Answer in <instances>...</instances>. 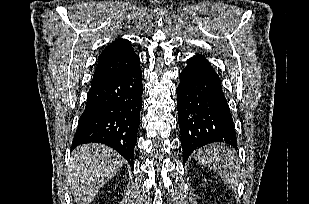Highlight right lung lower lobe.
<instances>
[{"label":"right lung lower lobe","mask_w":309,"mask_h":204,"mask_svg":"<svg viewBox=\"0 0 309 204\" xmlns=\"http://www.w3.org/2000/svg\"><path fill=\"white\" fill-rule=\"evenodd\" d=\"M139 64L117 76L91 84L72 149L102 143L119 152L133 166L143 93Z\"/></svg>","instance_id":"98d812e1"}]
</instances>
